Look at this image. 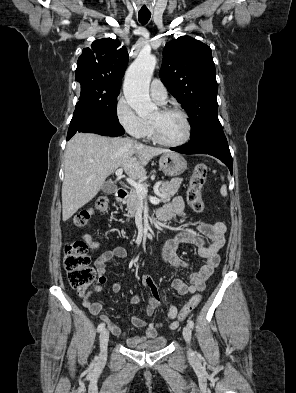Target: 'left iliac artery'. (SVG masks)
<instances>
[{
  "instance_id": "obj_1",
  "label": "left iliac artery",
  "mask_w": 296,
  "mask_h": 393,
  "mask_svg": "<svg viewBox=\"0 0 296 393\" xmlns=\"http://www.w3.org/2000/svg\"><path fill=\"white\" fill-rule=\"evenodd\" d=\"M188 325H189L190 328L193 329V327H194V322H193L192 320H189V321H188Z\"/></svg>"
}]
</instances>
